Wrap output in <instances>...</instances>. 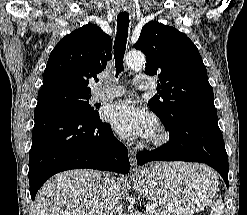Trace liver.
<instances>
[{
	"instance_id": "1",
	"label": "liver",
	"mask_w": 247,
	"mask_h": 215,
	"mask_svg": "<svg viewBox=\"0 0 247 215\" xmlns=\"http://www.w3.org/2000/svg\"><path fill=\"white\" fill-rule=\"evenodd\" d=\"M106 175L88 169L55 175L37 193L34 215H104ZM110 180L118 183L121 189L119 178L110 176Z\"/></svg>"
}]
</instances>
